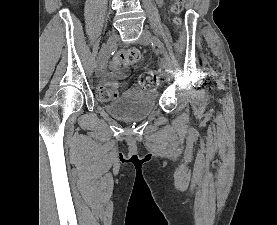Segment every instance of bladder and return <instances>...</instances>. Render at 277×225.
I'll list each match as a JSON object with an SVG mask.
<instances>
[{
    "instance_id": "1",
    "label": "bladder",
    "mask_w": 277,
    "mask_h": 225,
    "mask_svg": "<svg viewBox=\"0 0 277 225\" xmlns=\"http://www.w3.org/2000/svg\"><path fill=\"white\" fill-rule=\"evenodd\" d=\"M158 93L131 89L105 104L106 110L122 120H142L156 108Z\"/></svg>"
}]
</instances>
